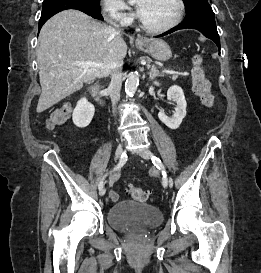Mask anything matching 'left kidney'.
Wrapping results in <instances>:
<instances>
[{
  "instance_id": "5707ae66",
  "label": "left kidney",
  "mask_w": 261,
  "mask_h": 273,
  "mask_svg": "<svg viewBox=\"0 0 261 273\" xmlns=\"http://www.w3.org/2000/svg\"><path fill=\"white\" fill-rule=\"evenodd\" d=\"M167 98L176 103L175 113L173 117L170 118L163 111H160L158 118L168 128L175 130L180 126L183 118L186 116L187 103L182 88L177 85H173L168 89Z\"/></svg>"
}]
</instances>
